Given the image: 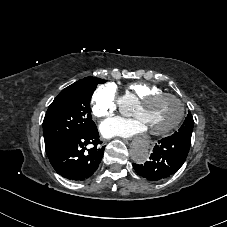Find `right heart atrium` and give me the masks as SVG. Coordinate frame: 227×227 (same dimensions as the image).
Listing matches in <instances>:
<instances>
[{"label":"right heart atrium","mask_w":227,"mask_h":227,"mask_svg":"<svg viewBox=\"0 0 227 227\" xmlns=\"http://www.w3.org/2000/svg\"><path fill=\"white\" fill-rule=\"evenodd\" d=\"M92 113L98 118H110L116 112L117 93L113 84L99 86L92 97Z\"/></svg>","instance_id":"right-heart-atrium-1"}]
</instances>
